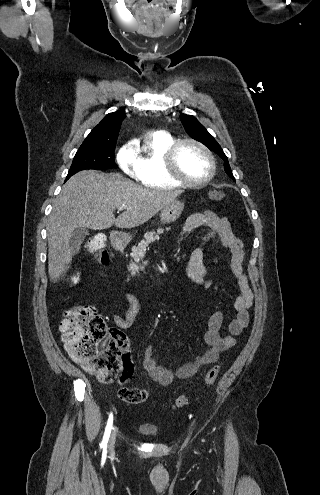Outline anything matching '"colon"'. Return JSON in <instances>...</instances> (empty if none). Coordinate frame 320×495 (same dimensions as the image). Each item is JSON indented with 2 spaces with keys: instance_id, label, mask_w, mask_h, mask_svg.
<instances>
[{
  "instance_id": "1",
  "label": "colon",
  "mask_w": 320,
  "mask_h": 495,
  "mask_svg": "<svg viewBox=\"0 0 320 495\" xmlns=\"http://www.w3.org/2000/svg\"><path fill=\"white\" fill-rule=\"evenodd\" d=\"M210 197L214 201H220L223 193L212 191ZM87 254L102 264L108 262L109 256L105 249V239L102 234H96L84 245ZM71 282L75 281L70 280ZM60 330L62 341L70 357L81 364L88 372L97 376L103 383L113 382L121 368L131 367L130 354L127 351L125 337L122 333L109 330L104 319L94 307H77L66 312L61 321ZM116 336L120 337L123 349L116 342ZM219 374V366L215 365L206 373L203 386L214 384ZM120 383L124 384V376L121 375ZM121 400L129 404H139L148 398V392L138 388L121 386L118 390ZM188 404V397L180 395L174 402V408L180 409Z\"/></svg>"
}]
</instances>
